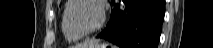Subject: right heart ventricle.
<instances>
[{
  "instance_id": "right-heart-ventricle-1",
  "label": "right heart ventricle",
  "mask_w": 213,
  "mask_h": 48,
  "mask_svg": "<svg viewBox=\"0 0 213 48\" xmlns=\"http://www.w3.org/2000/svg\"><path fill=\"white\" fill-rule=\"evenodd\" d=\"M67 5H68V3H67ZM67 5L63 9V13H62L61 31H62V34H63V36H64V38L66 39L67 42L74 43V42L79 41L81 39V37L72 34L66 26L64 16H65Z\"/></svg>"
}]
</instances>
